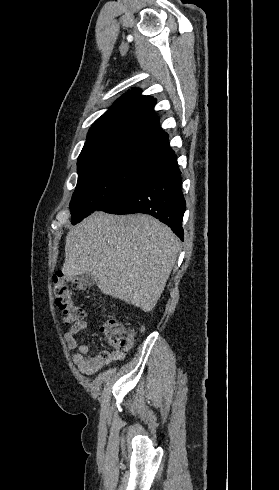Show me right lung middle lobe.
Listing matches in <instances>:
<instances>
[{
	"instance_id": "obj_1",
	"label": "right lung middle lobe",
	"mask_w": 279,
	"mask_h": 490,
	"mask_svg": "<svg viewBox=\"0 0 279 490\" xmlns=\"http://www.w3.org/2000/svg\"><path fill=\"white\" fill-rule=\"evenodd\" d=\"M156 168L154 163L106 160L78 168L70 210L73 225L98 209L113 192L139 182Z\"/></svg>"
}]
</instances>
